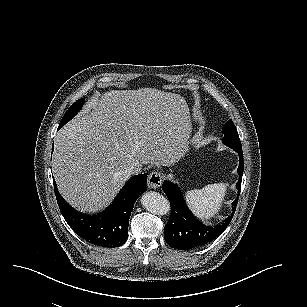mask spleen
I'll return each mask as SVG.
<instances>
[{
    "mask_svg": "<svg viewBox=\"0 0 307 307\" xmlns=\"http://www.w3.org/2000/svg\"><path fill=\"white\" fill-rule=\"evenodd\" d=\"M228 186V183L222 182L187 191L185 197L188 207L199 219L208 220L214 217L222 206Z\"/></svg>",
    "mask_w": 307,
    "mask_h": 307,
    "instance_id": "spleen-1",
    "label": "spleen"
}]
</instances>
